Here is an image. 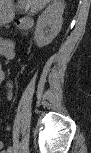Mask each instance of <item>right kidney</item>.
<instances>
[{"label": "right kidney", "mask_w": 91, "mask_h": 153, "mask_svg": "<svg viewBox=\"0 0 91 153\" xmlns=\"http://www.w3.org/2000/svg\"><path fill=\"white\" fill-rule=\"evenodd\" d=\"M64 3L54 0L38 17L35 29V42L38 47L50 44L58 35L63 24ZM49 28L47 31L45 29Z\"/></svg>", "instance_id": "1"}]
</instances>
